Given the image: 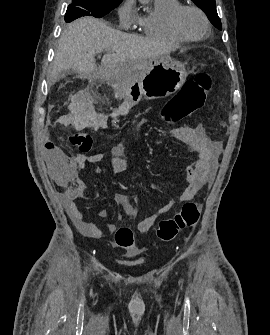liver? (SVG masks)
<instances>
[{
  "instance_id": "liver-1",
  "label": "liver",
  "mask_w": 270,
  "mask_h": 335,
  "mask_svg": "<svg viewBox=\"0 0 270 335\" xmlns=\"http://www.w3.org/2000/svg\"><path fill=\"white\" fill-rule=\"evenodd\" d=\"M108 52L97 68L95 54ZM166 54L165 46L150 38L125 34L109 28L96 18H80L63 30L55 54L53 76L62 70L80 74H108L109 70H124L125 78L138 80L148 60Z\"/></svg>"
}]
</instances>
